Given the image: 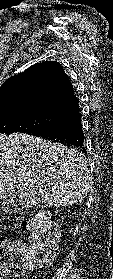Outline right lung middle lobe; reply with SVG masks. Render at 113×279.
<instances>
[{"label":"right lung middle lobe","mask_w":113,"mask_h":279,"mask_svg":"<svg viewBox=\"0 0 113 279\" xmlns=\"http://www.w3.org/2000/svg\"><path fill=\"white\" fill-rule=\"evenodd\" d=\"M69 112L53 108H25L0 110V133L33 134L48 125L57 124Z\"/></svg>","instance_id":"right-lung-middle-lobe-1"}]
</instances>
